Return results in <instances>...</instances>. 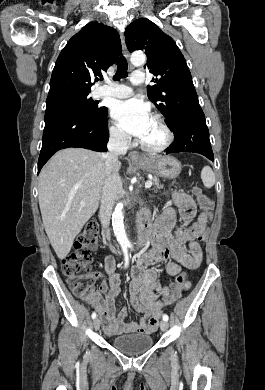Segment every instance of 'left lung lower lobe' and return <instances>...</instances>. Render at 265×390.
I'll list each match as a JSON object with an SVG mask.
<instances>
[{
    "label": "left lung lower lobe",
    "mask_w": 265,
    "mask_h": 390,
    "mask_svg": "<svg viewBox=\"0 0 265 390\" xmlns=\"http://www.w3.org/2000/svg\"><path fill=\"white\" fill-rule=\"evenodd\" d=\"M174 142L165 150L166 154L193 152L214 160L209 140V130L201 107L189 110L177 122L174 129Z\"/></svg>",
    "instance_id": "0a47b994"
}]
</instances>
